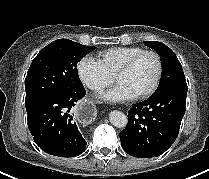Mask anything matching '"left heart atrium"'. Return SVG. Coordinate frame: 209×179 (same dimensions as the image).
I'll return each mask as SVG.
<instances>
[{"label":"left heart atrium","instance_id":"obj_1","mask_svg":"<svg viewBox=\"0 0 209 179\" xmlns=\"http://www.w3.org/2000/svg\"><path fill=\"white\" fill-rule=\"evenodd\" d=\"M101 98L108 102H121L133 98V94L125 86L117 84L112 89L101 94Z\"/></svg>","mask_w":209,"mask_h":179}]
</instances>
